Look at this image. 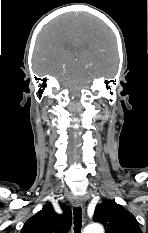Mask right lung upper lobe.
<instances>
[{"label":"right lung upper lobe","instance_id":"right-lung-upper-lobe-1","mask_svg":"<svg viewBox=\"0 0 148 233\" xmlns=\"http://www.w3.org/2000/svg\"><path fill=\"white\" fill-rule=\"evenodd\" d=\"M64 214H57L51 203L27 220L20 233H67L70 230L71 209L62 204Z\"/></svg>","mask_w":148,"mask_h":233}]
</instances>
